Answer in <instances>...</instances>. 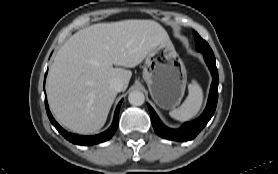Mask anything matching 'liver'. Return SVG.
Instances as JSON below:
<instances>
[{"mask_svg":"<svg viewBox=\"0 0 278 174\" xmlns=\"http://www.w3.org/2000/svg\"><path fill=\"white\" fill-rule=\"evenodd\" d=\"M170 43L166 30L153 20L98 23L73 34L56 53L47 78L57 121L79 134L100 130L117 96L110 81L121 79L126 90L132 76L118 66L133 68L153 47Z\"/></svg>","mask_w":278,"mask_h":174,"instance_id":"obj_1","label":"liver"}]
</instances>
